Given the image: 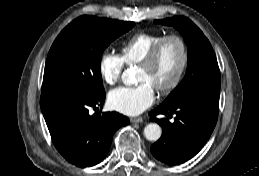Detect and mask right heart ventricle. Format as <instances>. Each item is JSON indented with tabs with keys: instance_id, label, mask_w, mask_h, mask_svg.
I'll return each instance as SVG.
<instances>
[{
	"instance_id": "1",
	"label": "right heart ventricle",
	"mask_w": 259,
	"mask_h": 176,
	"mask_svg": "<svg viewBox=\"0 0 259 176\" xmlns=\"http://www.w3.org/2000/svg\"><path fill=\"white\" fill-rule=\"evenodd\" d=\"M164 36L163 33L153 32H140L132 35L121 47L123 62L128 66L138 65Z\"/></svg>"
}]
</instances>
